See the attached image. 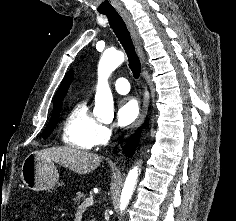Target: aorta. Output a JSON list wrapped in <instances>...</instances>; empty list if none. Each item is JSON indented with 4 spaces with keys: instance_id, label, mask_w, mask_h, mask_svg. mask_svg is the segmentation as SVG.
Here are the masks:
<instances>
[{
    "instance_id": "obj_1",
    "label": "aorta",
    "mask_w": 236,
    "mask_h": 221,
    "mask_svg": "<svg viewBox=\"0 0 236 221\" xmlns=\"http://www.w3.org/2000/svg\"><path fill=\"white\" fill-rule=\"evenodd\" d=\"M124 54L121 51H106L99 62V79L95 95V107L93 113L101 119H112L114 116L113 96L108 85L110 74L123 63ZM138 167H133L125 180L121 198L120 211H124L132 197L134 187L138 179Z\"/></svg>"
}]
</instances>
